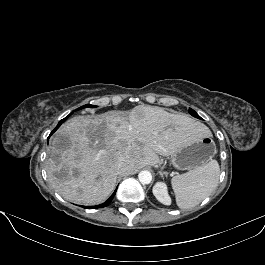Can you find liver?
Wrapping results in <instances>:
<instances>
[{"label": "liver", "instance_id": "liver-1", "mask_svg": "<svg viewBox=\"0 0 265 265\" xmlns=\"http://www.w3.org/2000/svg\"><path fill=\"white\" fill-rule=\"evenodd\" d=\"M210 134L204 124L154 106H136L128 115L108 111L76 116L53 138L46 161L48 180L66 200L99 204L114 190L119 174L156 165L158 155L169 156L186 139ZM120 160L126 163L124 171Z\"/></svg>", "mask_w": 265, "mask_h": 265}]
</instances>
